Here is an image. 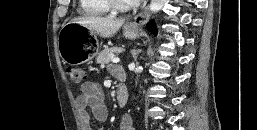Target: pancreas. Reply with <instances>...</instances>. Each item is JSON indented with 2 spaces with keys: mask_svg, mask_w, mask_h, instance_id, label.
<instances>
[{
  "mask_svg": "<svg viewBox=\"0 0 257 130\" xmlns=\"http://www.w3.org/2000/svg\"><path fill=\"white\" fill-rule=\"evenodd\" d=\"M118 51V47L106 48L105 50L99 53V55L96 58V62L101 65L109 64Z\"/></svg>",
  "mask_w": 257,
  "mask_h": 130,
  "instance_id": "1",
  "label": "pancreas"
}]
</instances>
